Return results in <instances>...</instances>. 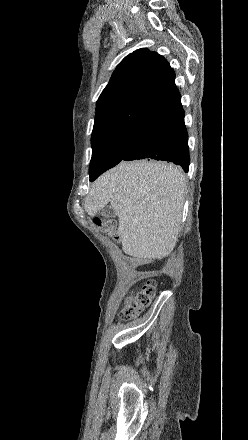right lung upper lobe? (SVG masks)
I'll list each match as a JSON object with an SVG mask.
<instances>
[{
	"instance_id": "right-lung-upper-lobe-1",
	"label": "right lung upper lobe",
	"mask_w": 248,
	"mask_h": 440,
	"mask_svg": "<svg viewBox=\"0 0 248 440\" xmlns=\"http://www.w3.org/2000/svg\"><path fill=\"white\" fill-rule=\"evenodd\" d=\"M165 58L146 48L126 56L97 100L92 146L133 129L156 111L181 99Z\"/></svg>"
}]
</instances>
